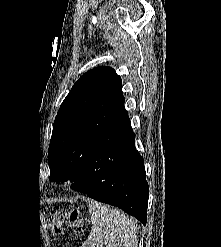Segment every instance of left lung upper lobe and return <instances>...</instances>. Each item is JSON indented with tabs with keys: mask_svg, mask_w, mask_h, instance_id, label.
Returning a JSON list of instances; mask_svg holds the SVG:
<instances>
[{
	"mask_svg": "<svg viewBox=\"0 0 221 247\" xmlns=\"http://www.w3.org/2000/svg\"><path fill=\"white\" fill-rule=\"evenodd\" d=\"M121 77L101 66L83 74L60 106L49 145V180L75 181L105 130L127 117Z\"/></svg>",
	"mask_w": 221,
	"mask_h": 247,
	"instance_id": "5c2ea615",
	"label": "left lung upper lobe"
}]
</instances>
